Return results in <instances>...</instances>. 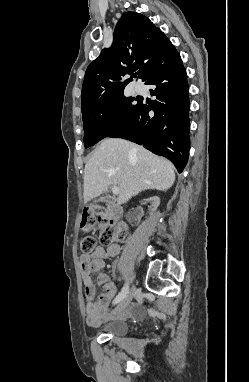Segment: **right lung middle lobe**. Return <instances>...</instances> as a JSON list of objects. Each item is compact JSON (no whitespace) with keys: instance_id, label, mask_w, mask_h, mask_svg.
Returning a JSON list of instances; mask_svg holds the SVG:
<instances>
[{"instance_id":"obj_1","label":"right lung middle lobe","mask_w":249,"mask_h":382,"mask_svg":"<svg viewBox=\"0 0 249 382\" xmlns=\"http://www.w3.org/2000/svg\"><path fill=\"white\" fill-rule=\"evenodd\" d=\"M141 96L96 100L82 108L84 146H93L125 125L136 113Z\"/></svg>"}]
</instances>
